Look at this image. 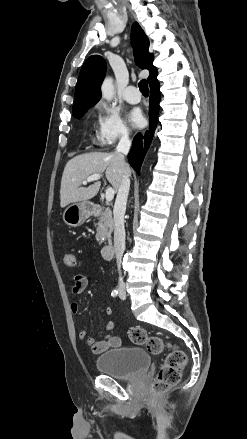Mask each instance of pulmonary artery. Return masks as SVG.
Wrapping results in <instances>:
<instances>
[{"label":"pulmonary artery","mask_w":247,"mask_h":439,"mask_svg":"<svg viewBox=\"0 0 247 439\" xmlns=\"http://www.w3.org/2000/svg\"><path fill=\"white\" fill-rule=\"evenodd\" d=\"M123 97L127 102H129L131 104L139 103L141 100V95H140L138 89L132 85L128 86L124 90Z\"/></svg>","instance_id":"pulmonary-artery-1"}]
</instances>
